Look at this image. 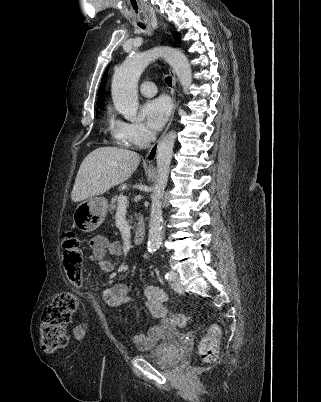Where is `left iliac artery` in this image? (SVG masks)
<instances>
[{"label": "left iliac artery", "instance_id": "left-iliac-artery-1", "mask_svg": "<svg viewBox=\"0 0 321 402\" xmlns=\"http://www.w3.org/2000/svg\"><path fill=\"white\" fill-rule=\"evenodd\" d=\"M165 279L167 280H173L174 279V274L172 272H168L165 274Z\"/></svg>", "mask_w": 321, "mask_h": 402}]
</instances>
